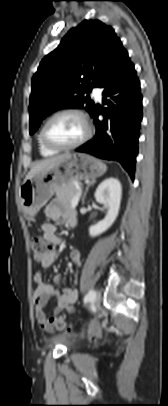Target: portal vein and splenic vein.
<instances>
[{
  "mask_svg": "<svg viewBox=\"0 0 168 406\" xmlns=\"http://www.w3.org/2000/svg\"><path fill=\"white\" fill-rule=\"evenodd\" d=\"M82 191L79 190L78 193L75 195V197L73 198L72 202H71V207L75 208L78 204L79 198L81 196Z\"/></svg>",
  "mask_w": 168,
  "mask_h": 406,
  "instance_id": "obj_1",
  "label": "portal vein and splenic vein"
}]
</instances>
